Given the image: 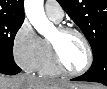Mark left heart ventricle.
Instances as JSON below:
<instances>
[{
	"label": "left heart ventricle",
	"mask_w": 107,
	"mask_h": 89,
	"mask_svg": "<svg viewBox=\"0 0 107 89\" xmlns=\"http://www.w3.org/2000/svg\"><path fill=\"white\" fill-rule=\"evenodd\" d=\"M50 40L56 44L60 57L69 70L77 71L84 67L87 51L80 37L75 34L60 35L56 30Z\"/></svg>",
	"instance_id": "obj_1"
}]
</instances>
